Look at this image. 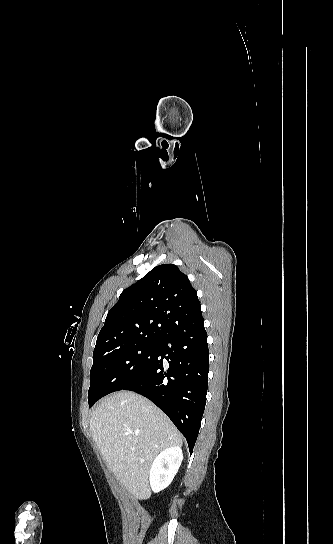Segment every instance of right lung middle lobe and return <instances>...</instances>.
<instances>
[{"instance_id": "dd1d6c3e", "label": "right lung middle lobe", "mask_w": 333, "mask_h": 544, "mask_svg": "<svg viewBox=\"0 0 333 544\" xmlns=\"http://www.w3.org/2000/svg\"><path fill=\"white\" fill-rule=\"evenodd\" d=\"M158 340H136L93 355L88 391L89 407L103 396L135 380L155 357Z\"/></svg>"}]
</instances>
